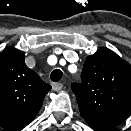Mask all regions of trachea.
<instances>
[{
  "mask_svg": "<svg viewBox=\"0 0 131 131\" xmlns=\"http://www.w3.org/2000/svg\"><path fill=\"white\" fill-rule=\"evenodd\" d=\"M63 76V73L60 69H55L52 71L50 78L53 82H58Z\"/></svg>",
  "mask_w": 131,
  "mask_h": 131,
  "instance_id": "1",
  "label": "trachea"
}]
</instances>
